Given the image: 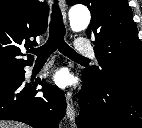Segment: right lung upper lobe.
Here are the masks:
<instances>
[{
  "instance_id": "1",
  "label": "right lung upper lobe",
  "mask_w": 142,
  "mask_h": 128,
  "mask_svg": "<svg viewBox=\"0 0 142 128\" xmlns=\"http://www.w3.org/2000/svg\"><path fill=\"white\" fill-rule=\"evenodd\" d=\"M49 8L38 0H0V72L24 69L20 49L36 45L33 38L47 29Z\"/></svg>"
}]
</instances>
